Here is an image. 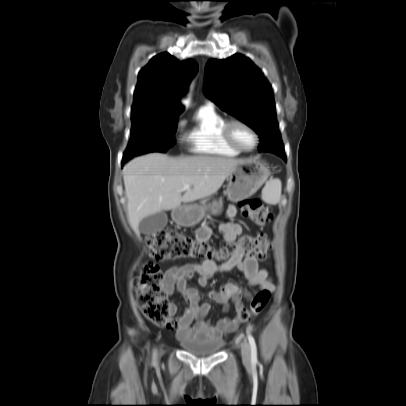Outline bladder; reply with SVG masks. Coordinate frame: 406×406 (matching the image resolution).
Instances as JSON below:
<instances>
[{
  "mask_svg": "<svg viewBox=\"0 0 406 406\" xmlns=\"http://www.w3.org/2000/svg\"><path fill=\"white\" fill-rule=\"evenodd\" d=\"M182 349L192 355L209 356L217 353L222 346L212 341H197L192 339H179Z\"/></svg>",
  "mask_w": 406,
  "mask_h": 406,
  "instance_id": "obj_1",
  "label": "bladder"
}]
</instances>
